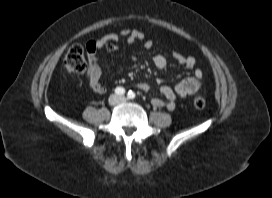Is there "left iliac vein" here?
Instances as JSON below:
<instances>
[{
    "mask_svg": "<svg viewBox=\"0 0 272 198\" xmlns=\"http://www.w3.org/2000/svg\"><path fill=\"white\" fill-rule=\"evenodd\" d=\"M120 101H121V102H125V98H124V97H121V98H120Z\"/></svg>",
    "mask_w": 272,
    "mask_h": 198,
    "instance_id": "4c4485c4",
    "label": "left iliac vein"
}]
</instances>
